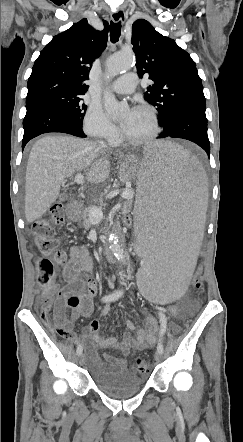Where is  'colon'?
I'll use <instances>...</instances> for the list:
<instances>
[{"label":"colon","mask_w":243,"mask_h":442,"mask_svg":"<svg viewBox=\"0 0 243 442\" xmlns=\"http://www.w3.org/2000/svg\"><path fill=\"white\" fill-rule=\"evenodd\" d=\"M120 220L126 230L131 229L134 220L133 213H122ZM65 221L64 209L60 204H55L51 208L49 219H42L34 223L32 230L34 240L38 250L52 257L57 264H62L66 260L65 253L60 248V242L55 236L54 226L62 225ZM38 267V285L42 290L41 300V319L51 325L61 336H70L68 321L65 312H57L53 309L54 293L56 291V279L54 264L50 259H41L37 263ZM204 265L201 262L196 263L193 278L190 283L195 291V297H200L203 285L200 280ZM150 359L147 356L136 357L132 364V369L140 374H146L150 371Z\"/></svg>","instance_id":"1"}]
</instances>
